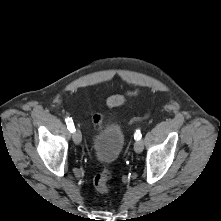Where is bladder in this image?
<instances>
[{
    "instance_id": "bladder-1",
    "label": "bladder",
    "mask_w": 221,
    "mask_h": 221,
    "mask_svg": "<svg viewBox=\"0 0 221 221\" xmlns=\"http://www.w3.org/2000/svg\"><path fill=\"white\" fill-rule=\"evenodd\" d=\"M124 130L118 123H109L99 129L93 139L97 159L103 163L114 162L124 145Z\"/></svg>"
}]
</instances>
